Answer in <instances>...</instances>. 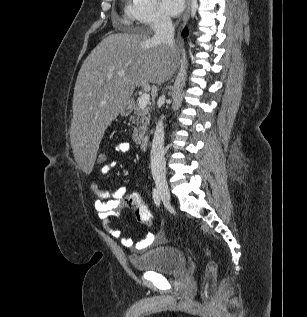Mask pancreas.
I'll use <instances>...</instances> for the list:
<instances>
[{"label": "pancreas", "instance_id": "1", "mask_svg": "<svg viewBox=\"0 0 307 317\" xmlns=\"http://www.w3.org/2000/svg\"><path fill=\"white\" fill-rule=\"evenodd\" d=\"M133 110V115L130 116V121L135 125L132 139L136 144H141L150 122V109L148 107L140 108L138 105L134 106Z\"/></svg>", "mask_w": 307, "mask_h": 317}]
</instances>
